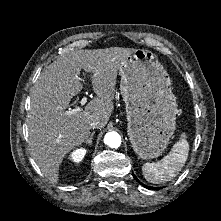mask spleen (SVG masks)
<instances>
[{"mask_svg": "<svg viewBox=\"0 0 221 221\" xmlns=\"http://www.w3.org/2000/svg\"><path fill=\"white\" fill-rule=\"evenodd\" d=\"M189 153V143L185 133L177 141L170 153L156 163H145L142 166L144 178L151 183L160 184L171 181L182 170Z\"/></svg>", "mask_w": 221, "mask_h": 221, "instance_id": "obj_1", "label": "spleen"}]
</instances>
